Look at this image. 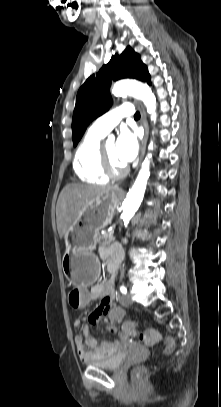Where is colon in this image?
<instances>
[{
  "instance_id": "colon-1",
  "label": "colon",
  "mask_w": 221,
  "mask_h": 407,
  "mask_svg": "<svg viewBox=\"0 0 221 407\" xmlns=\"http://www.w3.org/2000/svg\"><path fill=\"white\" fill-rule=\"evenodd\" d=\"M89 287L87 283H78L77 286L69 287V305L72 311H86L89 304L88 299ZM124 312V307L122 305H114L111 309L107 310V317L111 318L112 322H119V328L122 330H128L131 337H136V333L133 329H139L141 327V322L139 320H130L129 315L126 317ZM126 318L128 320H126ZM140 339L143 340L148 345H154L162 341V336L159 331L155 328L147 329L144 333L140 335ZM166 344L165 353L170 354L174 351L176 343L173 338L167 337L164 340ZM136 375L140 373V370H136Z\"/></svg>"
}]
</instances>
